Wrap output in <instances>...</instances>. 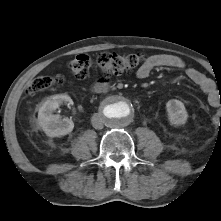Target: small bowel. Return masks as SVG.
I'll use <instances>...</instances> for the list:
<instances>
[{
  "label": "small bowel",
  "mask_w": 221,
  "mask_h": 221,
  "mask_svg": "<svg viewBox=\"0 0 221 221\" xmlns=\"http://www.w3.org/2000/svg\"><path fill=\"white\" fill-rule=\"evenodd\" d=\"M158 67L169 69H184L185 63L177 56L169 54H155L149 56L137 71L138 78H147ZM187 77L195 83L206 95L208 103L217 107L221 104V96L217 93L213 80L195 68H186Z\"/></svg>",
  "instance_id": "obj_1"
}]
</instances>
